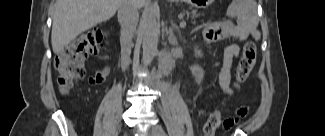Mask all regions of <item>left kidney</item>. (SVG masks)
I'll return each instance as SVG.
<instances>
[{
  "label": "left kidney",
  "mask_w": 325,
  "mask_h": 136,
  "mask_svg": "<svg viewBox=\"0 0 325 136\" xmlns=\"http://www.w3.org/2000/svg\"><path fill=\"white\" fill-rule=\"evenodd\" d=\"M194 54L196 57H202L201 50L197 48L194 49ZM190 71L194 76L195 81L200 84L204 78V70L202 69V67H200L199 65H193L190 67Z\"/></svg>",
  "instance_id": "obj_1"
}]
</instances>
